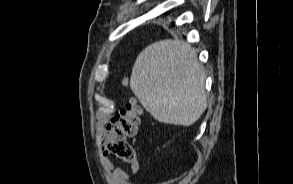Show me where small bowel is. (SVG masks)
<instances>
[{
    "label": "small bowel",
    "mask_w": 293,
    "mask_h": 184,
    "mask_svg": "<svg viewBox=\"0 0 293 184\" xmlns=\"http://www.w3.org/2000/svg\"><path fill=\"white\" fill-rule=\"evenodd\" d=\"M106 137V131H102L100 134V140H103ZM101 164L103 168L109 173V183L110 184H129V175L126 171L121 168L115 167L111 158L103 156L101 158ZM139 165L138 162L131 164V170L135 173L138 171Z\"/></svg>",
    "instance_id": "obj_1"
}]
</instances>
